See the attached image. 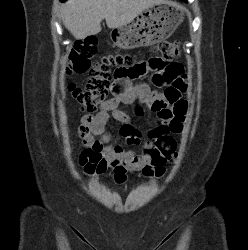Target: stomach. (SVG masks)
<instances>
[{"label": "stomach", "instance_id": "obj_1", "mask_svg": "<svg viewBox=\"0 0 248 250\" xmlns=\"http://www.w3.org/2000/svg\"><path fill=\"white\" fill-rule=\"evenodd\" d=\"M180 6L171 1L152 5L136 19L110 33L111 41L121 49L150 46L167 39L181 23Z\"/></svg>", "mask_w": 248, "mask_h": 250}]
</instances>
